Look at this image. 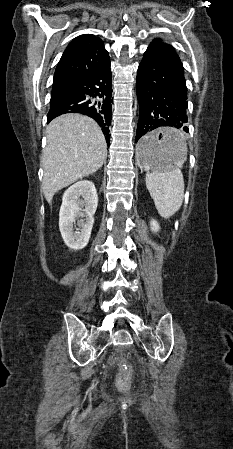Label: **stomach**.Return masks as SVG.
Wrapping results in <instances>:
<instances>
[{"label": "stomach", "instance_id": "1", "mask_svg": "<svg viewBox=\"0 0 233 449\" xmlns=\"http://www.w3.org/2000/svg\"><path fill=\"white\" fill-rule=\"evenodd\" d=\"M184 145L178 143V132L169 128H152L137 147V163L144 168L165 170L184 161Z\"/></svg>", "mask_w": 233, "mask_h": 449}]
</instances>
